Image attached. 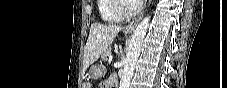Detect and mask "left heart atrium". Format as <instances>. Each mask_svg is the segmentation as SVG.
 <instances>
[{
    "label": "left heart atrium",
    "mask_w": 227,
    "mask_h": 88,
    "mask_svg": "<svg viewBox=\"0 0 227 88\" xmlns=\"http://www.w3.org/2000/svg\"><path fill=\"white\" fill-rule=\"evenodd\" d=\"M133 4L136 6V7H139L143 4V1L142 0H133Z\"/></svg>",
    "instance_id": "1"
}]
</instances>
